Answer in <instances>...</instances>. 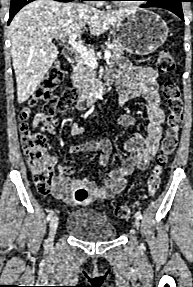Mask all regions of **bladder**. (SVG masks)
Wrapping results in <instances>:
<instances>
[{
    "label": "bladder",
    "instance_id": "bladder-1",
    "mask_svg": "<svg viewBox=\"0 0 193 287\" xmlns=\"http://www.w3.org/2000/svg\"><path fill=\"white\" fill-rule=\"evenodd\" d=\"M65 229L75 238L90 242L109 241L117 236L116 227L106 216L91 209L70 213Z\"/></svg>",
    "mask_w": 193,
    "mask_h": 287
}]
</instances>
